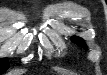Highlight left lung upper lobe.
Masks as SVG:
<instances>
[{"label":"left lung upper lobe","mask_w":107,"mask_h":75,"mask_svg":"<svg viewBox=\"0 0 107 75\" xmlns=\"http://www.w3.org/2000/svg\"><path fill=\"white\" fill-rule=\"evenodd\" d=\"M71 40H72L74 43H76L77 45H79V46H81V47H83V48H87L85 42H84L81 38L74 36V37L71 38Z\"/></svg>","instance_id":"1"}]
</instances>
